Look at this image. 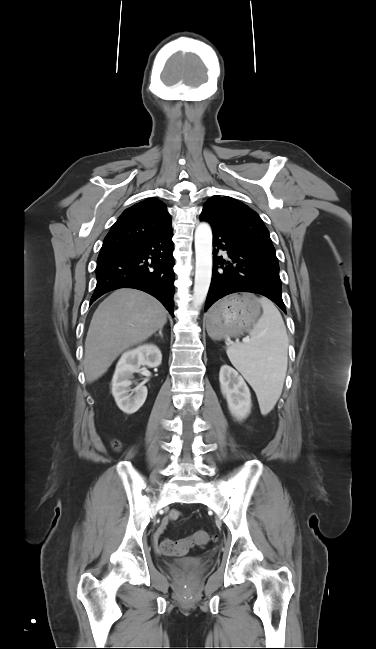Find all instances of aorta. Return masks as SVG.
Masks as SVG:
<instances>
[{"label": "aorta", "mask_w": 376, "mask_h": 649, "mask_svg": "<svg viewBox=\"0 0 376 649\" xmlns=\"http://www.w3.org/2000/svg\"><path fill=\"white\" fill-rule=\"evenodd\" d=\"M196 272L193 307L199 309L207 296L212 276V230L201 222L195 231Z\"/></svg>", "instance_id": "1"}]
</instances>
